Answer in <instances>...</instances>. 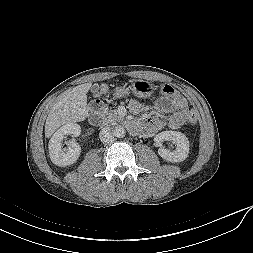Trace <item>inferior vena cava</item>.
<instances>
[{
    "mask_svg": "<svg viewBox=\"0 0 253 253\" xmlns=\"http://www.w3.org/2000/svg\"><path fill=\"white\" fill-rule=\"evenodd\" d=\"M99 138L103 143H110L114 140V132L110 127H104L99 133Z\"/></svg>",
    "mask_w": 253,
    "mask_h": 253,
    "instance_id": "1",
    "label": "inferior vena cava"
}]
</instances>
